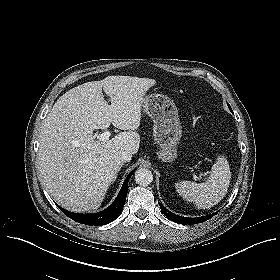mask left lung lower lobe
Returning a JSON list of instances; mask_svg holds the SVG:
<instances>
[{
  "instance_id": "0a47b994",
  "label": "left lung lower lobe",
  "mask_w": 280,
  "mask_h": 280,
  "mask_svg": "<svg viewBox=\"0 0 280 280\" xmlns=\"http://www.w3.org/2000/svg\"><path fill=\"white\" fill-rule=\"evenodd\" d=\"M160 208L162 213L171 221L179 223V224H197V223H202L204 221L209 220L210 218H212L214 214H210L207 216H203V217H198V218H188V217H182V216H178L176 214H173L172 212H170L169 210H167L162 204H160Z\"/></svg>"
}]
</instances>
